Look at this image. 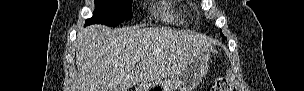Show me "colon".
<instances>
[{
  "instance_id": "colon-1",
  "label": "colon",
  "mask_w": 304,
  "mask_h": 91,
  "mask_svg": "<svg viewBox=\"0 0 304 91\" xmlns=\"http://www.w3.org/2000/svg\"><path fill=\"white\" fill-rule=\"evenodd\" d=\"M212 90L215 91H231L232 87L226 78L217 76L214 81V87Z\"/></svg>"
}]
</instances>
